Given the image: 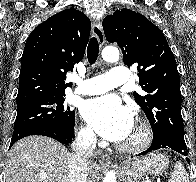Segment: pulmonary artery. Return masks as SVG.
I'll return each mask as SVG.
<instances>
[{"label":"pulmonary artery","instance_id":"obj_1","mask_svg":"<svg viewBox=\"0 0 196 182\" xmlns=\"http://www.w3.org/2000/svg\"><path fill=\"white\" fill-rule=\"evenodd\" d=\"M128 77L129 71L126 68L113 67L107 75H99L79 81L75 92L81 95L102 94L126 84Z\"/></svg>","mask_w":196,"mask_h":182}]
</instances>
